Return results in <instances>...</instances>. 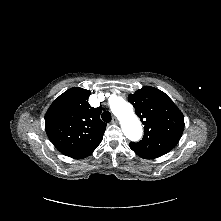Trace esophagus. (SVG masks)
Wrapping results in <instances>:
<instances>
[{
    "label": "esophagus",
    "mask_w": 221,
    "mask_h": 221,
    "mask_svg": "<svg viewBox=\"0 0 221 221\" xmlns=\"http://www.w3.org/2000/svg\"><path fill=\"white\" fill-rule=\"evenodd\" d=\"M112 123H113V124H117V123H118V119H117L116 117H113V118H112Z\"/></svg>",
    "instance_id": "esophagus-1"
}]
</instances>
